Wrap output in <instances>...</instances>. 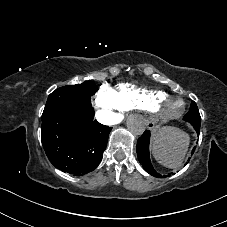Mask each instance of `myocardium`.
Segmentation results:
<instances>
[{
	"label": "myocardium",
	"instance_id": "1",
	"mask_svg": "<svg viewBox=\"0 0 227 227\" xmlns=\"http://www.w3.org/2000/svg\"><path fill=\"white\" fill-rule=\"evenodd\" d=\"M185 109V102L179 97L166 96L156 100L148 112L158 120H171L178 117Z\"/></svg>",
	"mask_w": 227,
	"mask_h": 227
}]
</instances>
